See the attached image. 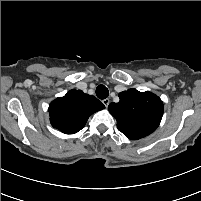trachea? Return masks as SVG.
Here are the masks:
<instances>
[{"label":"trachea","mask_w":201,"mask_h":201,"mask_svg":"<svg viewBox=\"0 0 201 201\" xmlns=\"http://www.w3.org/2000/svg\"><path fill=\"white\" fill-rule=\"evenodd\" d=\"M96 95L99 99H105L108 97L109 91L104 85H99L96 88Z\"/></svg>","instance_id":"3493384b"}]
</instances>
